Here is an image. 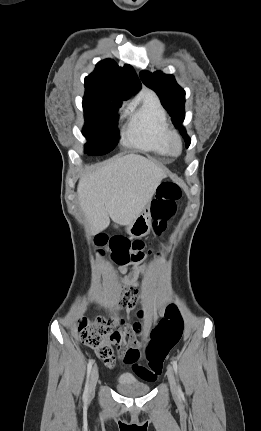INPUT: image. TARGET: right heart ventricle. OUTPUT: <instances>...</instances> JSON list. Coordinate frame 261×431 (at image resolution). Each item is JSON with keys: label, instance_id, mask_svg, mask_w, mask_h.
<instances>
[{"label": "right heart ventricle", "instance_id": "e07e8e85", "mask_svg": "<svg viewBox=\"0 0 261 431\" xmlns=\"http://www.w3.org/2000/svg\"><path fill=\"white\" fill-rule=\"evenodd\" d=\"M169 130L164 108L148 93L140 103L130 106L124 140L129 146L165 156L169 153L166 142Z\"/></svg>", "mask_w": 261, "mask_h": 431}]
</instances>
